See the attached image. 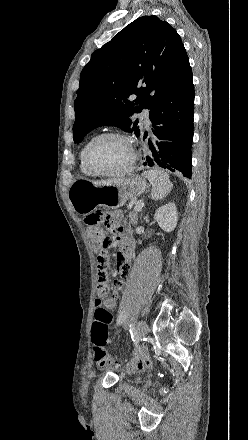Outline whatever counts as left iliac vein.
<instances>
[{
    "label": "left iliac vein",
    "instance_id": "1",
    "mask_svg": "<svg viewBox=\"0 0 248 440\" xmlns=\"http://www.w3.org/2000/svg\"><path fill=\"white\" fill-rule=\"evenodd\" d=\"M136 333L140 339H142L143 337H145L147 335L148 325L144 320H141L137 323Z\"/></svg>",
    "mask_w": 248,
    "mask_h": 440
}]
</instances>
